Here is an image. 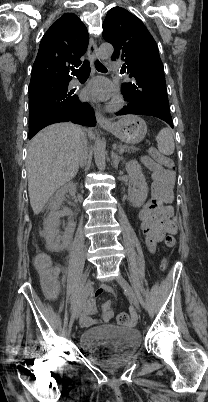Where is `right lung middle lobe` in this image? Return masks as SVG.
Segmentation results:
<instances>
[{"label":"right lung middle lobe","instance_id":"1","mask_svg":"<svg viewBox=\"0 0 208 402\" xmlns=\"http://www.w3.org/2000/svg\"><path fill=\"white\" fill-rule=\"evenodd\" d=\"M70 80L47 81L29 90V122L42 114L76 107L78 97L67 91Z\"/></svg>","mask_w":208,"mask_h":402}]
</instances>
